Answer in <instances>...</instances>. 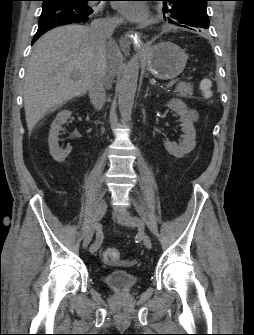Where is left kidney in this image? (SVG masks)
Listing matches in <instances>:
<instances>
[{"label": "left kidney", "instance_id": "left-kidney-1", "mask_svg": "<svg viewBox=\"0 0 254 335\" xmlns=\"http://www.w3.org/2000/svg\"><path fill=\"white\" fill-rule=\"evenodd\" d=\"M166 106L180 115V120L182 122L181 127L184 135L181 136L182 141L179 144L166 140L164 146L171 155L176 158H182L195 148L196 131L192 119L188 114L187 106L182 100L172 99Z\"/></svg>", "mask_w": 254, "mask_h": 335}]
</instances>
